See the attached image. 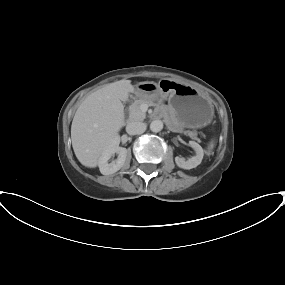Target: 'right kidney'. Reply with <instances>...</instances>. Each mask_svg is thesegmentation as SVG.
I'll use <instances>...</instances> for the list:
<instances>
[{
  "mask_svg": "<svg viewBox=\"0 0 285 285\" xmlns=\"http://www.w3.org/2000/svg\"><path fill=\"white\" fill-rule=\"evenodd\" d=\"M117 154L118 157L116 160H113L111 163L108 161L110 158ZM127 157V149L123 147H119V139H114L101 153L98 161V166L100 172L103 175H110L118 170H120L125 164Z\"/></svg>",
  "mask_w": 285,
  "mask_h": 285,
  "instance_id": "ca27d5eb",
  "label": "right kidney"
}]
</instances>
